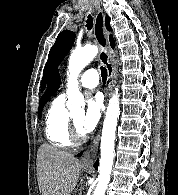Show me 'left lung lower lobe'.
I'll return each instance as SVG.
<instances>
[{"instance_id": "left-lung-lower-lobe-1", "label": "left lung lower lobe", "mask_w": 178, "mask_h": 195, "mask_svg": "<svg viewBox=\"0 0 178 195\" xmlns=\"http://www.w3.org/2000/svg\"><path fill=\"white\" fill-rule=\"evenodd\" d=\"M81 155H82V153L78 154V156H81Z\"/></svg>"}]
</instances>
